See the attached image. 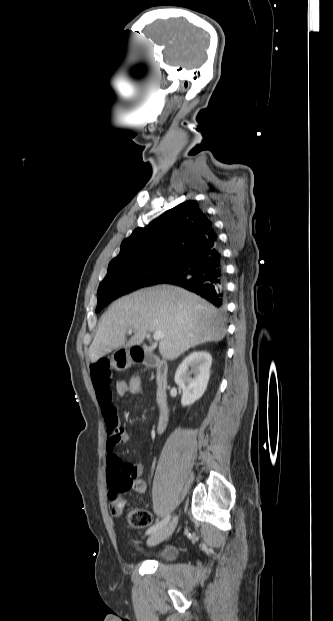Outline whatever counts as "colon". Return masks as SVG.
<instances>
[{"instance_id": "colon-1", "label": "colon", "mask_w": 333, "mask_h": 621, "mask_svg": "<svg viewBox=\"0 0 333 621\" xmlns=\"http://www.w3.org/2000/svg\"><path fill=\"white\" fill-rule=\"evenodd\" d=\"M142 379L140 376H133L125 381L126 394L136 397L141 392ZM108 483L116 491L124 492L132 489L133 479L131 470L123 467L121 464L112 463L108 469ZM125 503L116 500L110 503V513L114 516L121 514ZM128 523L134 528H145L152 523V515L145 509H132L128 513Z\"/></svg>"}]
</instances>
